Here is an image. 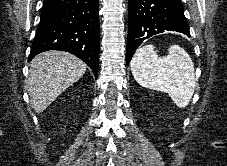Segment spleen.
<instances>
[{
  "mask_svg": "<svg viewBox=\"0 0 227 166\" xmlns=\"http://www.w3.org/2000/svg\"><path fill=\"white\" fill-rule=\"evenodd\" d=\"M131 71L139 85L168 93L177 107L190 103L195 89L194 63L178 45H171L164 57L158 56L153 45L139 47L131 60Z\"/></svg>",
  "mask_w": 227,
  "mask_h": 166,
  "instance_id": "3e777b00",
  "label": "spleen"
}]
</instances>
